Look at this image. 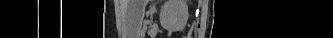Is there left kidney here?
I'll return each mask as SVG.
<instances>
[{
	"label": "left kidney",
	"instance_id": "left-kidney-1",
	"mask_svg": "<svg viewBox=\"0 0 333 38\" xmlns=\"http://www.w3.org/2000/svg\"><path fill=\"white\" fill-rule=\"evenodd\" d=\"M161 26L171 32L183 31L188 21L186 0H167L159 14Z\"/></svg>",
	"mask_w": 333,
	"mask_h": 38
}]
</instances>
